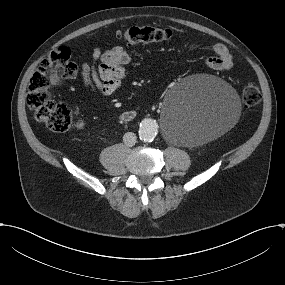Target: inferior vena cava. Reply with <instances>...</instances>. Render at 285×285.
Returning <instances> with one entry per match:
<instances>
[{"mask_svg":"<svg viewBox=\"0 0 285 285\" xmlns=\"http://www.w3.org/2000/svg\"><path fill=\"white\" fill-rule=\"evenodd\" d=\"M123 141L127 146H133L136 143V135L132 132H127L123 136Z\"/></svg>","mask_w":285,"mask_h":285,"instance_id":"obj_1","label":"inferior vena cava"}]
</instances>
